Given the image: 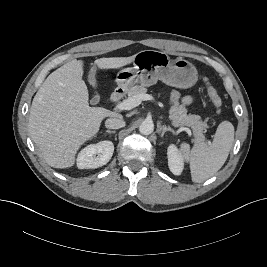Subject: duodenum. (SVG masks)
<instances>
[{"instance_id":"duodenum-1","label":"duodenum","mask_w":267,"mask_h":267,"mask_svg":"<svg viewBox=\"0 0 267 267\" xmlns=\"http://www.w3.org/2000/svg\"><path fill=\"white\" fill-rule=\"evenodd\" d=\"M124 95V90L121 88H118L117 90H115L112 95H111V101L116 102L118 100H120Z\"/></svg>"}]
</instances>
